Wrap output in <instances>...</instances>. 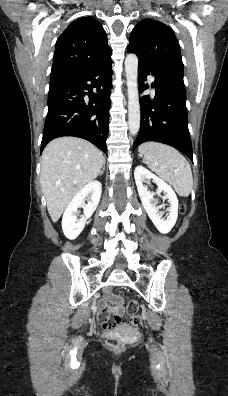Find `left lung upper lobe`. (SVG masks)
<instances>
[{"label":"left lung upper lobe","mask_w":228,"mask_h":396,"mask_svg":"<svg viewBox=\"0 0 228 396\" xmlns=\"http://www.w3.org/2000/svg\"><path fill=\"white\" fill-rule=\"evenodd\" d=\"M127 50L138 55L139 65L183 76L178 40L174 31L160 21H140L131 32Z\"/></svg>","instance_id":"obj_1"}]
</instances>
